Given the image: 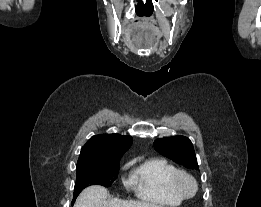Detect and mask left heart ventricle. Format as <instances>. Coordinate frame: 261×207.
<instances>
[{
	"instance_id": "obj_1",
	"label": "left heart ventricle",
	"mask_w": 261,
	"mask_h": 207,
	"mask_svg": "<svg viewBox=\"0 0 261 207\" xmlns=\"http://www.w3.org/2000/svg\"><path fill=\"white\" fill-rule=\"evenodd\" d=\"M187 187H189V188H190V185L188 184V185H187Z\"/></svg>"
}]
</instances>
